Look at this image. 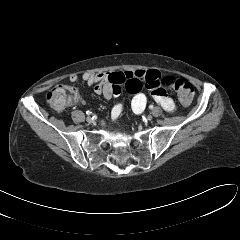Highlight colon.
I'll list each match as a JSON object with an SVG mask.
<instances>
[{"mask_svg": "<svg viewBox=\"0 0 240 240\" xmlns=\"http://www.w3.org/2000/svg\"><path fill=\"white\" fill-rule=\"evenodd\" d=\"M164 83L172 87L179 100L184 104L188 105L194 96V87L190 82L185 80H174L170 76L164 78ZM73 95V89L66 85H59L51 89L46 96L49 105L56 111L64 110L69 104Z\"/></svg>", "mask_w": 240, "mask_h": 240, "instance_id": "5ec220e1", "label": "colon"}]
</instances>
